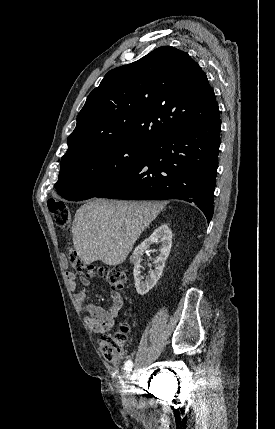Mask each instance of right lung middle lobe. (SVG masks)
Returning <instances> with one entry per match:
<instances>
[{"mask_svg": "<svg viewBox=\"0 0 275 429\" xmlns=\"http://www.w3.org/2000/svg\"><path fill=\"white\" fill-rule=\"evenodd\" d=\"M149 145L117 144L101 148L61 164L55 188L65 199L95 197L114 181L138 167Z\"/></svg>", "mask_w": 275, "mask_h": 429, "instance_id": "dd1d6c3e", "label": "right lung middle lobe"}]
</instances>
